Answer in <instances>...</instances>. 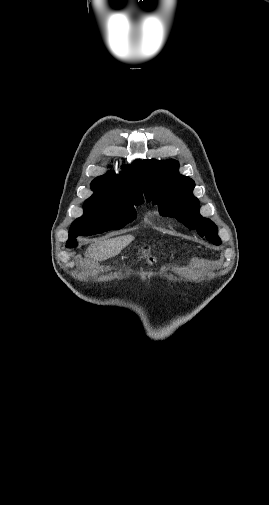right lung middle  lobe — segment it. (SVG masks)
Wrapping results in <instances>:
<instances>
[{
  "label": "right lung middle lobe",
  "mask_w": 269,
  "mask_h": 505,
  "mask_svg": "<svg viewBox=\"0 0 269 505\" xmlns=\"http://www.w3.org/2000/svg\"><path fill=\"white\" fill-rule=\"evenodd\" d=\"M143 200H101L87 199L84 203V214L76 219L69 232L68 248L78 245L75 238L78 235L90 236L108 230L121 229L136 217L134 205L142 204Z\"/></svg>",
  "instance_id": "right-lung-middle-lobe-1"
}]
</instances>
